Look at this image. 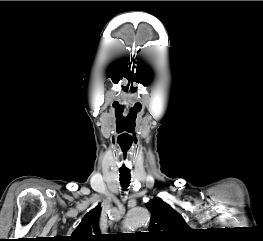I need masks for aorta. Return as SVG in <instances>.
Listing matches in <instances>:
<instances>
[{"instance_id":"762f6f07","label":"aorta","mask_w":263,"mask_h":241,"mask_svg":"<svg viewBox=\"0 0 263 241\" xmlns=\"http://www.w3.org/2000/svg\"><path fill=\"white\" fill-rule=\"evenodd\" d=\"M149 211L143 207H135L132 208L125 220H124V226L125 228L129 229V230H133L136 229L142 225H144L145 223H147L149 221Z\"/></svg>"}]
</instances>
